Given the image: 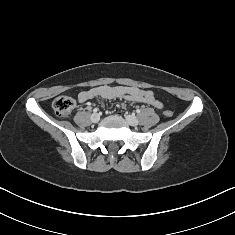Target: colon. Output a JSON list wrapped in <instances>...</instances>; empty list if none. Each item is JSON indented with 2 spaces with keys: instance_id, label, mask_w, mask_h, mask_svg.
I'll use <instances>...</instances> for the list:
<instances>
[{
  "instance_id": "5ec220e1",
  "label": "colon",
  "mask_w": 235,
  "mask_h": 235,
  "mask_svg": "<svg viewBox=\"0 0 235 235\" xmlns=\"http://www.w3.org/2000/svg\"><path fill=\"white\" fill-rule=\"evenodd\" d=\"M74 106L75 101L71 97L63 95L56 97L52 103L53 110L59 117H67L72 112ZM172 114L171 110L164 111V115L167 117H171Z\"/></svg>"
}]
</instances>
